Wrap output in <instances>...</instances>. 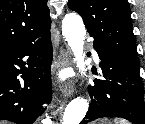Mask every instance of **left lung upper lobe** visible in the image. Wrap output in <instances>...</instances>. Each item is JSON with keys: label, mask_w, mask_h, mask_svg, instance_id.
<instances>
[{"label": "left lung upper lobe", "mask_w": 145, "mask_h": 124, "mask_svg": "<svg viewBox=\"0 0 145 124\" xmlns=\"http://www.w3.org/2000/svg\"><path fill=\"white\" fill-rule=\"evenodd\" d=\"M94 43L104 51L139 63L127 0H69Z\"/></svg>", "instance_id": "left-lung-upper-lobe-1"}]
</instances>
